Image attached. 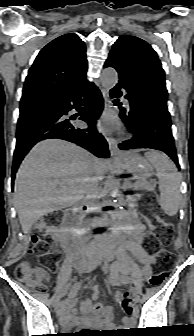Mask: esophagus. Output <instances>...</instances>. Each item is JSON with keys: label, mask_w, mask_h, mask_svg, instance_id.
Listing matches in <instances>:
<instances>
[{"label": "esophagus", "mask_w": 194, "mask_h": 336, "mask_svg": "<svg viewBox=\"0 0 194 336\" xmlns=\"http://www.w3.org/2000/svg\"><path fill=\"white\" fill-rule=\"evenodd\" d=\"M102 95L104 99V108L107 109V107L109 106V90L102 89ZM106 140H107L111 155H119L122 153L118 147L117 141L113 137L108 136Z\"/></svg>", "instance_id": "1"}]
</instances>
